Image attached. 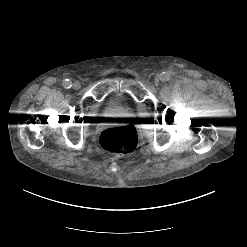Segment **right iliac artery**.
I'll return each mask as SVG.
<instances>
[{"label":"right iliac artery","mask_w":247,"mask_h":247,"mask_svg":"<svg viewBox=\"0 0 247 247\" xmlns=\"http://www.w3.org/2000/svg\"><path fill=\"white\" fill-rule=\"evenodd\" d=\"M63 86L64 88L69 89L72 86V82L69 79H65L63 82Z\"/></svg>","instance_id":"82829eb1"}]
</instances>
